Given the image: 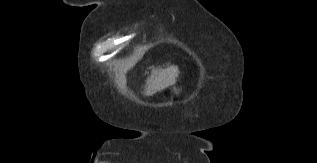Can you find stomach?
Listing matches in <instances>:
<instances>
[{"mask_svg":"<svg viewBox=\"0 0 317 163\" xmlns=\"http://www.w3.org/2000/svg\"><path fill=\"white\" fill-rule=\"evenodd\" d=\"M175 93H178V90H175Z\"/></svg>","mask_w":317,"mask_h":163,"instance_id":"stomach-1","label":"stomach"}]
</instances>
